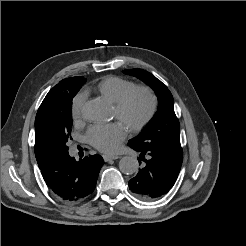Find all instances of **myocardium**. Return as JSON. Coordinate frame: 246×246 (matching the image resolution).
I'll use <instances>...</instances> for the list:
<instances>
[{
  "label": "myocardium",
  "mask_w": 246,
  "mask_h": 246,
  "mask_svg": "<svg viewBox=\"0 0 246 246\" xmlns=\"http://www.w3.org/2000/svg\"><path fill=\"white\" fill-rule=\"evenodd\" d=\"M138 94H144L147 96L149 100V109L140 120L135 122H128L127 126L133 132L141 131L152 121L157 112L159 104L157 94L152 88L148 86H136L115 103V109L118 111L119 118L124 116L132 100Z\"/></svg>",
  "instance_id": "myocardium-1"
}]
</instances>
